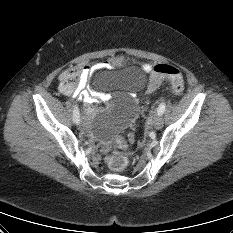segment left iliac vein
Wrapping results in <instances>:
<instances>
[{"mask_svg": "<svg viewBox=\"0 0 233 233\" xmlns=\"http://www.w3.org/2000/svg\"><path fill=\"white\" fill-rule=\"evenodd\" d=\"M153 126L155 129H160L163 126V118L161 115L159 114H155L153 117V122H152Z\"/></svg>", "mask_w": 233, "mask_h": 233, "instance_id": "4c4485c4", "label": "left iliac vein"}]
</instances>
